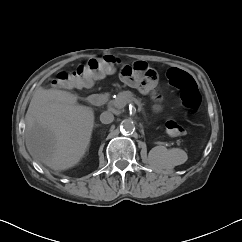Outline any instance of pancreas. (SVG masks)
I'll return each mask as SVG.
<instances>
[{
  "label": "pancreas",
  "mask_w": 242,
  "mask_h": 242,
  "mask_svg": "<svg viewBox=\"0 0 242 242\" xmlns=\"http://www.w3.org/2000/svg\"><path fill=\"white\" fill-rule=\"evenodd\" d=\"M133 101H135L139 105L141 104V101L136 99L132 92L123 91V92H120L115 99L110 100L108 105H109V108L112 110L121 111L127 103L133 102Z\"/></svg>",
  "instance_id": "pancreas-1"
}]
</instances>
